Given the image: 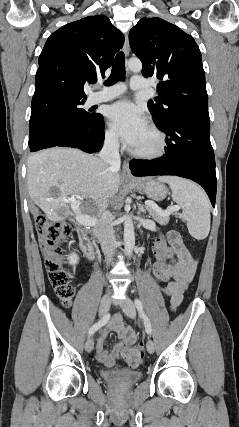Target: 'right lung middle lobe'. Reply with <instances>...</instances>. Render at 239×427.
I'll return each mask as SVG.
<instances>
[{
    "instance_id": "dd1d6c3e",
    "label": "right lung middle lobe",
    "mask_w": 239,
    "mask_h": 427,
    "mask_svg": "<svg viewBox=\"0 0 239 427\" xmlns=\"http://www.w3.org/2000/svg\"><path fill=\"white\" fill-rule=\"evenodd\" d=\"M86 99H78L63 95H53L32 99V112L29 124V145L38 134L52 122L69 117L79 125L85 126L96 118V114L86 112L82 106Z\"/></svg>"
}]
</instances>
